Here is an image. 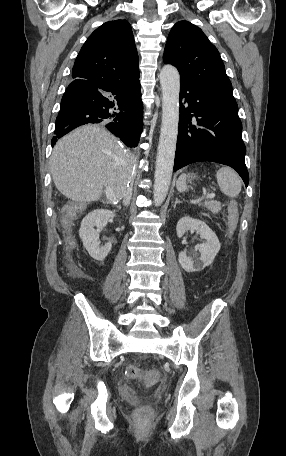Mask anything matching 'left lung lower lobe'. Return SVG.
Instances as JSON below:
<instances>
[{"mask_svg":"<svg viewBox=\"0 0 286 456\" xmlns=\"http://www.w3.org/2000/svg\"><path fill=\"white\" fill-rule=\"evenodd\" d=\"M182 101L188 106H182ZM193 116L196 118L195 125L191 122ZM245 153L237 103L180 79V116L174 171L194 162H217L235 169L247 187L249 175Z\"/></svg>","mask_w":286,"mask_h":456,"instance_id":"1","label":"left lung lower lobe"}]
</instances>
